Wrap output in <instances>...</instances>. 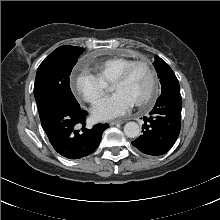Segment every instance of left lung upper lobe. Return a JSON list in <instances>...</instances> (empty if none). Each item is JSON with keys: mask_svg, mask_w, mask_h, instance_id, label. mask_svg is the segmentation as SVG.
<instances>
[{"mask_svg": "<svg viewBox=\"0 0 220 220\" xmlns=\"http://www.w3.org/2000/svg\"><path fill=\"white\" fill-rule=\"evenodd\" d=\"M154 66L158 77L160 78V83L162 86L161 93L180 90V86L174 72L164 60L157 56L154 62Z\"/></svg>", "mask_w": 220, "mask_h": 220, "instance_id": "obj_1", "label": "left lung upper lobe"}]
</instances>
